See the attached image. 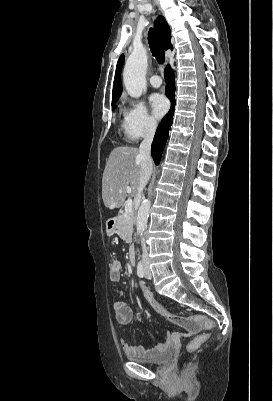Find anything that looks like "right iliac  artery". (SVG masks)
<instances>
[{
  "instance_id": "obj_1",
  "label": "right iliac artery",
  "mask_w": 273,
  "mask_h": 401,
  "mask_svg": "<svg viewBox=\"0 0 273 401\" xmlns=\"http://www.w3.org/2000/svg\"><path fill=\"white\" fill-rule=\"evenodd\" d=\"M137 275L141 278L144 276V268L141 262H139L137 266Z\"/></svg>"
}]
</instances>
